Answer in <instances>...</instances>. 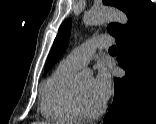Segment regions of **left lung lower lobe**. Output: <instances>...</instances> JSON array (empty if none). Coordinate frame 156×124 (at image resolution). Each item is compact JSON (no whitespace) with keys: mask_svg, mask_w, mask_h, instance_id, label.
Wrapping results in <instances>:
<instances>
[{"mask_svg":"<svg viewBox=\"0 0 156 124\" xmlns=\"http://www.w3.org/2000/svg\"><path fill=\"white\" fill-rule=\"evenodd\" d=\"M115 40L126 75L114 79L115 95L104 123L156 124V8L150 0Z\"/></svg>","mask_w":156,"mask_h":124,"instance_id":"0a47b994","label":"left lung lower lobe"}]
</instances>
